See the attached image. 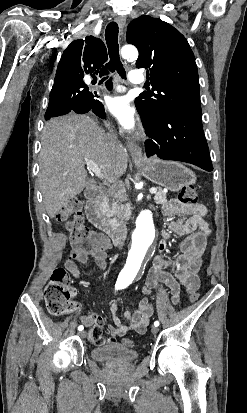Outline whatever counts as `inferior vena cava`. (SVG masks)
Here are the masks:
<instances>
[{"label": "inferior vena cava", "mask_w": 247, "mask_h": 413, "mask_svg": "<svg viewBox=\"0 0 247 413\" xmlns=\"http://www.w3.org/2000/svg\"><path fill=\"white\" fill-rule=\"evenodd\" d=\"M106 138H108L109 142H113V144H118V142H120V140L117 136L116 130H112V128H110L109 132H107ZM117 196H118V194H117ZM120 229H121V231H124V229H126V225H125L124 221H121Z\"/></svg>", "instance_id": "obj_1"}]
</instances>
